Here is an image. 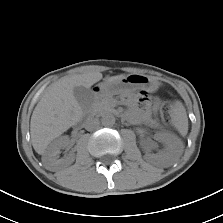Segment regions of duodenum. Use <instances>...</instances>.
Segmentation results:
<instances>
[{"label": "duodenum", "mask_w": 223, "mask_h": 223, "mask_svg": "<svg viewBox=\"0 0 223 223\" xmlns=\"http://www.w3.org/2000/svg\"><path fill=\"white\" fill-rule=\"evenodd\" d=\"M94 91H95V93H98V88H95V90H94Z\"/></svg>", "instance_id": "410a0bca"}]
</instances>
